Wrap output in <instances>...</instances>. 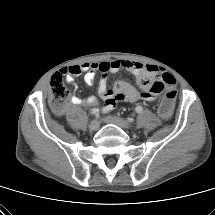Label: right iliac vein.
<instances>
[{
  "mask_svg": "<svg viewBox=\"0 0 215 215\" xmlns=\"http://www.w3.org/2000/svg\"><path fill=\"white\" fill-rule=\"evenodd\" d=\"M99 127H100V123L97 119H94L90 122V125H89L90 130L96 131L99 129Z\"/></svg>",
  "mask_w": 215,
  "mask_h": 215,
  "instance_id": "1",
  "label": "right iliac vein"
}]
</instances>
